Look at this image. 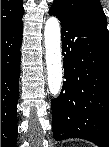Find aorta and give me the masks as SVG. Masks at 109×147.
<instances>
[{
    "label": "aorta",
    "instance_id": "aorta-1",
    "mask_svg": "<svg viewBox=\"0 0 109 147\" xmlns=\"http://www.w3.org/2000/svg\"><path fill=\"white\" fill-rule=\"evenodd\" d=\"M48 87L53 96H57L62 85V57L60 23L56 17H50L44 30Z\"/></svg>",
    "mask_w": 109,
    "mask_h": 147
}]
</instances>
